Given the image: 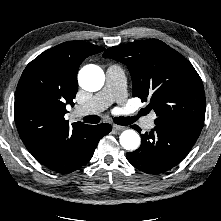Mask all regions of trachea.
<instances>
[{"mask_svg":"<svg viewBox=\"0 0 221 221\" xmlns=\"http://www.w3.org/2000/svg\"><path fill=\"white\" fill-rule=\"evenodd\" d=\"M139 115H143L142 112ZM139 115L137 117H115L114 122L118 125H130L137 120ZM83 121L85 123L97 124L100 122V117L97 115L86 116L83 118Z\"/></svg>","mask_w":221,"mask_h":221,"instance_id":"1","label":"trachea"}]
</instances>
